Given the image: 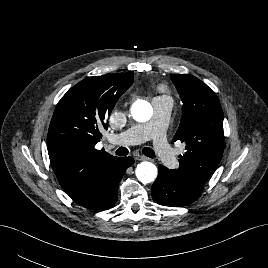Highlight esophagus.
<instances>
[{"instance_id":"34e87169","label":"esophagus","mask_w":268,"mask_h":268,"mask_svg":"<svg viewBox=\"0 0 268 268\" xmlns=\"http://www.w3.org/2000/svg\"><path fill=\"white\" fill-rule=\"evenodd\" d=\"M137 160H138V161H145V160H149V158L146 157V156H144V155H138V156H137Z\"/></svg>"}]
</instances>
